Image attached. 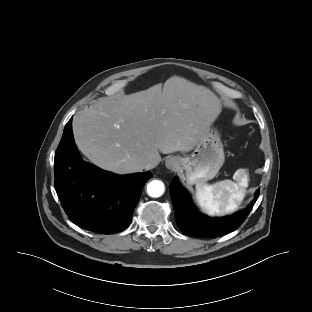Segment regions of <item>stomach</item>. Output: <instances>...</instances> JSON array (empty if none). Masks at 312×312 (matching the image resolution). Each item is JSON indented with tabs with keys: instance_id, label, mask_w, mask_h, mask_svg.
<instances>
[{
	"instance_id": "1",
	"label": "stomach",
	"mask_w": 312,
	"mask_h": 312,
	"mask_svg": "<svg viewBox=\"0 0 312 312\" xmlns=\"http://www.w3.org/2000/svg\"><path fill=\"white\" fill-rule=\"evenodd\" d=\"M177 160V169L184 172L188 184H202L213 179L225 161L217 130L210 128L191 154L178 156Z\"/></svg>"
}]
</instances>
